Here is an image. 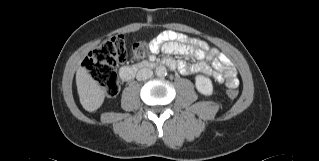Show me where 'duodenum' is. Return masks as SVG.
<instances>
[{
  "label": "duodenum",
  "mask_w": 319,
  "mask_h": 161,
  "mask_svg": "<svg viewBox=\"0 0 319 161\" xmlns=\"http://www.w3.org/2000/svg\"><path fill=\"white\" fill-rule=\"evenodd\" d=\"M157 66H167L171 70H174L176 68V63L170 58H166L163 60H148L133 66H124L120 69L119 73L121 79L127 82L131 80L138 72L142 70L152 69Z\"/></svg>",
  "instance_id": "duodenum-1"
}]
</instances>
